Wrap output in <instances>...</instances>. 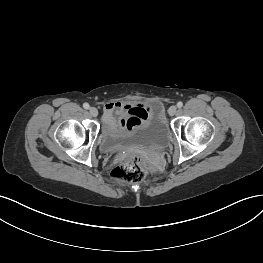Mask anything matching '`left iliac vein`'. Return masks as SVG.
Masks as SVG:
<instances>
[{
    "label": "left iliac vein",
    "mask_w": 263,
    "mask_h": 263,
    "mask_svg": "<svg viewBox=\"0 0 263 263\" xmlns=\"http://www.w3.org/2000/svg\"><path fill=\"white\" fill-rule=\"evenodd\" d=\"M176 112H177V107H176V106H171V107L169 108V110H168V113H169V115H171V116L175 115Z\"/></svg>",
    "instance_id": "1"
}]
</instances>
